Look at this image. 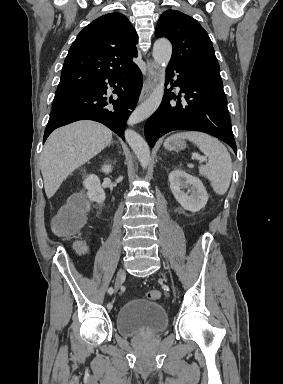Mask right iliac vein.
I'll use <instances>...</instances> for the list:
<instances>
[{"label": "right iliac vein", "mask_w": 283, "mask_h": 384, "mask_svg": "<svg viewBox=\"0 0 283 384\" xmlns=\"http://www.w3.org/2000/svg\"><path fill=\"white\" fill-rule=\"evenodd\" d=\"M125 270L124 269H120L117 273V276H116V280H115V287H114V290H115V293L118 292V290L120 289L122 283L124 282L125 280Z\"/></svg>", "instance_id": "63e3f726"}]
</instances>
